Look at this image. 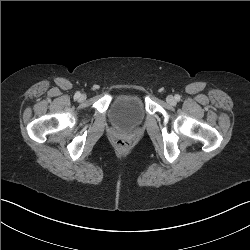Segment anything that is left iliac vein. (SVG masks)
Instances as JSON below:
<instances>
[{
  "instance_id": "4c4485c4",
  "label": "left iliac vein",
  "mask_w": 250,
  "mask_h": 250,
  "mask_svg": "<svg viewBox=\"0 0 250 250\" xmlns=\"http://www.w3.org/2000/svg\"><path fill=\"white\" fill-rule=\"evenodd\" d=\"M167 103L174 105L176 103L174 97L172 95H168L166 98Z\"/></svg>"
}]
</instances>
